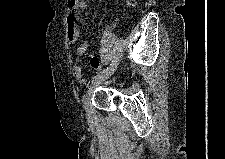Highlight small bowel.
I'll return each mask as SVG.
<instances>
[{"label":"small bowel","mask_w":225,"mask_h":159,"mask_svg":"<svg viewBox=\"0 0 225 159\" xmlns=\"http://www.w3.org/2000/svg\"><path fill=\"white\" fill-rule=\"evenodd\" d=\"M85 8H86L85 0H77L69 8L66 27H67L68 41L72 45L75 44L79 38V29L76 22V15L79 12L83 11ZM88 48H89L88 42L81 43L76 48V51H75L76 55L83 56L87 52ZM90 65L92 68H95V69L101 68V63L95 54H92L90 56ZM73 73L77 81H79L80 83L85 82L84 67L82 64L75 63L73 66Z\"/></svg>","instance_id":"obj_1"}]
</instances>
